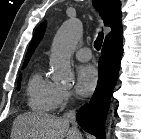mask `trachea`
<instances>
[{
  "instance_id": "trachea-1",
  "label": "trachea",
  "mask_w": 141,
  "mask_h": 139,
  "mask_svg": "<svg viewBox=\"0 0 141 139\" xmlns=\"http://www.w3.org/2000/svg\"><path fill=\"white\" fill-rule=\"evenodd\" d=\"M103 33L100 32L98 37L96 38L95 42H94V47L96 48V50H100L101 46H102V42H103Z\"/></svg>"
}]
</instances>
